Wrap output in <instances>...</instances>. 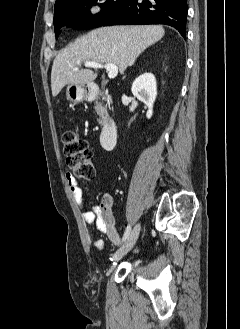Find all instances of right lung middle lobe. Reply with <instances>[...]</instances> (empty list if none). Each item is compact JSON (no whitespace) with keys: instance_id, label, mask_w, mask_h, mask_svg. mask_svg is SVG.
<instances>
[{"instance_id":"obj_1","label":"right lung middle lobe","mask_w":240,"mask_h":329,"mask_svg":"<svg viewBox=\"0 0 240 329\" xmlns=\"http://www.w3.org/2000/svg\"><path fill=\"white\" fill-rule=\"evenodd\" d=\"M125 0H69L54 9V30L56 38L63 26L75 29H90L102 25ZM101 6L102 11L93 16L90 7Z\"/></svg>"}]
</instances>
